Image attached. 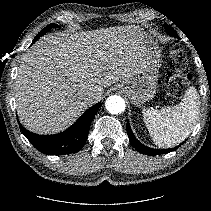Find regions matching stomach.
I'll return each instance as SVG.
<instances>
[{
	"label": "stomach",
	"instance_id": "stomach-1",
	"mask_svg": "<svg viewBox=\"0 0 211 211\" xmlns=\"http://www.w3.org/2000/svg\"><path fill=\"white\" fill-rule=\"evenodd\" d=\"M145 36V50L137 72L133 77L118 85L134 105L140 106L154 98L157 89L160 50L157 41L150 35Z\"/></svg>",
	"mask_w": 211,
	"mask_h": 211
}]
</instances>
